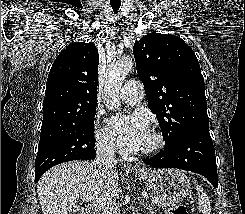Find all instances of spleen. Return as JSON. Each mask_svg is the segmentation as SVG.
<instances>
[{
  "instance_id": "obj_1",
  "label": "spleen",
  "mask_w": 245,
  "mask_h": 214,
  "mask_svg": "<svg viewBox=\"0 0 245 214\" xmlns=\"http://www.w3.org/2000/svg\"><path fill=\"white\" fill-rule=\"evenodd\" d=\"M196 187L199 196L198 199L199 210L201 211L202 214H210L211 206H210L208 195L206 194V192L203 190L201 186L196 185Z\"/></svg>"
}]
</instances>
